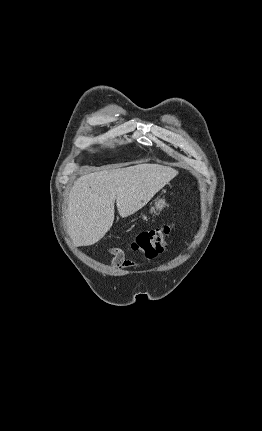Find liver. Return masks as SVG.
I'll return each mask as SVG.
<instances>
[{"label": "liver", "instance_id": "1", "mask_svg": "<svg viewBox=\"0 0 262 431\" xmlns=\"http://www.w3.org/2000/svg\"><path fill=\"white\" fill-rule=\"evenodd\" d=\"M177 175L171 167L143 163L81 176L68 198L67 233L73 244L90 246L105 236L113 225L115 201L120 216H130Z\"/></svg>", "mask_w": 262, "mask_h": 431}]
</instances>
